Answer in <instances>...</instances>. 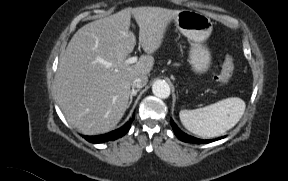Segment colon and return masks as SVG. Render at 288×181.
I'll list each match as a JSON object with an SVG mask.
<instances>
[{"instance_id":"colon-1","label":"colon","mask_w":288,"mask_h":181,"mask_svg":"<svg viewBox=\"0 0 288 181\" xmlns=\"http://www.w3.org/2000/svg\"><path fill=\"white\" fill-rule=\"evenodd\" d=\"M233 71L234 60L230 55H227L220 64V72L216 76V80L222 85H227L231 79Z\"/></svg>"}]
</instances>
